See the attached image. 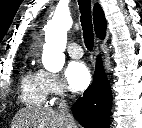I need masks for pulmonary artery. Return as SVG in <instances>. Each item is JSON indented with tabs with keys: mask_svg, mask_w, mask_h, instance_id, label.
<instances>
[{
	"mask_svg": "<svg viewBox=\"0 0 142 128\" xmlns=\"http://www.w3.org/2000/svg\"><path fill=\"white\" fill-rule=\"evenodd\" d=\"M67 52L73 58H80L83 55L81 46L74 42L68 44Z\"/></svg>",
	"mask_w": 142,
	"mask_h": 128,
	"instance_id": "1",
	"label": "pulmonary artery"
}]
</instances>
